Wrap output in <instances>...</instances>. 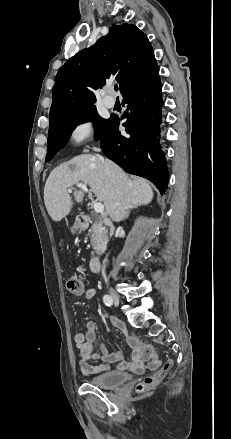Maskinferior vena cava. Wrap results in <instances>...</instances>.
<instances>
[{
	"instance_id": "obj_1",
	"label": "inferior vena cava",
	"mask_w": 231,
	"mask_h": 439,
	"mask_svg": "<svg viewBox=\"0 0 231 439\" xmlns=\"http://www.w3.org/2000/svg\"><path fill=\"white\" fill-rule=\"evenodd\" d=\"M98 157L100 158V160H101L102 162H104V159H103L102 157H100V156H98ZM106 174H107L108 178L111 179V175H110V172H109L108 169L106 170ZM106 262H107V259H105V260L103 261V265H105Z\"/></svg>"
}]
</instances>
